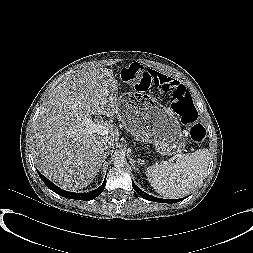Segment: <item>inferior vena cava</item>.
Here are the masks:
<instances>
[{"mask_svg":"<svg viewBox=\"0 0 253 253\" xmlns=\"http://www.w3.org/2000/svg\"><path fill=\"white\" fill-rule=\"evenodd\" d=\"M113 145H106L105 146V150H109L110 151V148L112 147Z\"/></svg>","mask_w":253,"mask_h":253,"instance_id":"inferior-vena-cava-1","label":"inferior vena cava"}]
</instances>
